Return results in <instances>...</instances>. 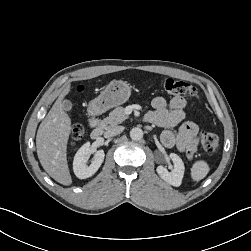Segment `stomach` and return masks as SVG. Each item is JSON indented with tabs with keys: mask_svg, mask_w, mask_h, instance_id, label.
I'll return each mask as SVG.
<instances>
[{
	"mask_svg": "<svg viewBox=\"0 0 251 251\" xmlns=\"http://www.w3.org/2000/svg\"><path fill=\"white\" fill-rule=\"evenodd\" d=\"M131 95L130 85L122 80L111 81L98 97L89 104V112L92 115L100 114L110 108L128 101Z\"/></svg>",
	"mask_w": 251,
	"mask_h": 251,
	"instance_id": "1",
	"label": "stomach"
}]
</instances>
